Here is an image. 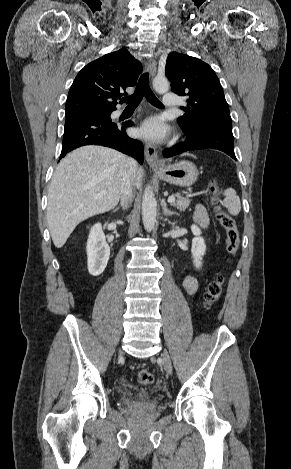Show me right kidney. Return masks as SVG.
Here are the masks:
<instances>
[{
	"label": "right kidney",
	"mask_w": 291,
	"mask_h": 469,
	"mask_svg": "<svg viewBox=\"0 0 291 469\" xmlns=\"http://www.w3.org/2000/svg\"><path fill=\"white\" fill-rule=\"evenodd\" d=\"M86 251L89 273L92 276H99L105 270L110 256V248L100 223L91 228Z\"/></svg>",
	"instance_id": "obj_1"
}]
</instances>
